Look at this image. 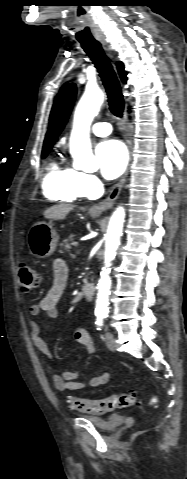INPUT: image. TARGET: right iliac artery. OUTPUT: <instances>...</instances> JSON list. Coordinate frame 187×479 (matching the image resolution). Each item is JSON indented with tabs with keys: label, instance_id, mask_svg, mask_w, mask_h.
<instances>
[{
	"label": "right iliac artery",
	"instance_id": "1",
	"mask_svg": "<svg viewBox=\"0 0 187 479\" xmlns=\"http://www.w3.org/2000/svg\"><path fill=\"white\" fill-rule=\"evenodd\" d=\"M103 318L104 317H101V316L97 318L96 320L97 330H101V326L103 325Z\"/></svg>",
	"mask_w": 187,
	"mask_h": 479
}]
</instances>
